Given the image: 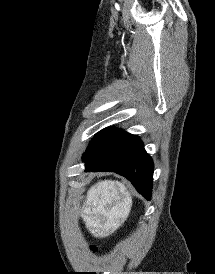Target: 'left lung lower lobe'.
Masks as SVG:
<instances>
[{
  "instance_id": "obj_1",
  "label": "left lung lower lobe",
  "mask_w": 215,
  "mask_h": 274,
  "mask_svg": "<svg viewBox=\"0 0 215 274\" xmlns=\"http://www.w3.org/2000/svg\"><path fill=\"white\" fill-rule=\"evenodd\" d=\"M85 171H110L118 173L135 186L147 200L151 198L153 161L136 136L115 130L102 144L87 155Z\"/></svg>"
}]
</instances>
